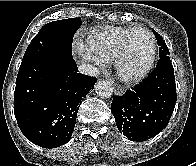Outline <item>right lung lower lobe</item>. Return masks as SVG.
Returning a JSON list of instances; mask_svg holds the SVG:
<instances>
[{
    "instance_id": "obj_1",
    "label": "right lung lower lobe",
    "mask_w": 196,
    "mask_h": 166,
    "mask_svg": "<svg viewBox=\"0 0 196 166\" xmlns=\"http://www.w3.org/2000/svg\"><path fill=\"white\" fill-rule=\"evenodd\" d=\"M97 79L78 73L72 57L44 53L22 59L14 114L23 135L43 148L67 143L83 97Z\"/></svg>"
}]
</instances>
